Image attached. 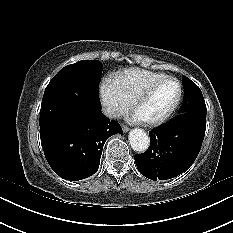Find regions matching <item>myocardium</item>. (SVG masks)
<instances>
[{
	"mask_svg": "<svg viewBox=\"0 0 233 233\" xmlns=\"http://www.w3.org/2000/svg\"><path fill=\"white\" fill-rule=\"evenodd\" d=\"M163 81H172L175 83L176 88H177V94L176 97L171 104V106L168 108V110L163 113L160 117L151 119V120H142L144 125L146 126H159L162 123H164L177 109L181 97H182V86L181 83L179 82L178 79L172 76H162L159 77L153 81H151L149 84H147L141 91H139L133 98L132 106L133 110L136 111V108L138 104L150 93V91L153 89L154 86H156L158 83L163 82Z\"/></svg>",
	"mask_w": 233,
	"mask_h": 233,
	"instance_id": "1",
	"label": "myocardium"
}]
</instances>
